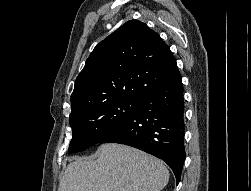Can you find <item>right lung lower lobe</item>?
Returning <instances> with one entry per match:
<instances>
[{
	"label": "right lung lower lobe",
	"instance_id": "right-lung-lower-lobe-1",
	"mask_svg": "<svg viewBox=\"0 0 251 191\" xmlns=\"http://www.w3.org/2000/svg\"><path fill=\"white\" fill-rule=\"evenodd\" d=\"M182 78L139 101L137 109L99 143L129 145L164 160L180 181L185 161Z\"/></svg>",
	"mask_w": 251,
	"mask_h": 191
}]
</instances>
